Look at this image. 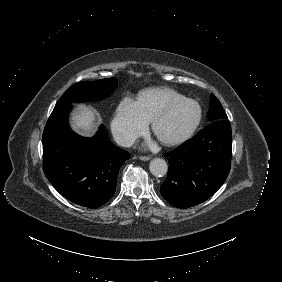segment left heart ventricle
Returning a JSON list of instances; mask_svg holds the SVG:
<instances>
[{
    "label": "left heart ventricle",
    "instance_id": "b2bd125f",
    "mask_svg": "<svg viewBox=\"0 0 282 282\" xmlns=\"http://www.w3.org/2000/svg\"><path fill=\"white\" fill-rule=\"evenodd\" d=\"M197 112L194 103H186L174 109L160 124V134L166 138L178 135L196 117Z\"/></svg>",
    "mask_w": 282,
    "mask_h": 282
}]
</instances>
